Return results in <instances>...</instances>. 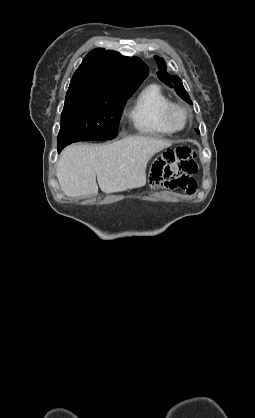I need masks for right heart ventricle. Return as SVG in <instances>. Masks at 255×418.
Returning <instances> with one entry per match:
<instances>
[{"instance_id": "e07e8e85", "label": "right heart ventricle", "mask_w": 255, "mask_h": 418, "mask_svg": "<svg viewBox=\"0 0 255 418\" xmlns=\"http://www.w3.org/2000/svg\"><path fill=\"white\" fill-rule=\"evenodd\" d=\"M171 103L162 88L146 85L136 96L128 113L134 129L144 135H170L174 131L166 124L165 110Z\"/></svg>"}]
</instances>
